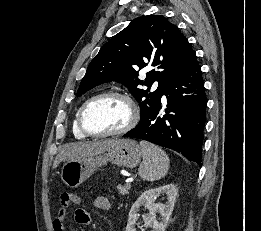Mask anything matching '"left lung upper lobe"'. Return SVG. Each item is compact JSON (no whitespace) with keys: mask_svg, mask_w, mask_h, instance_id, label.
Instances as JSON below:
<instances>
[{"mask_svg":"<svg viewBox=\"0 0 261 231\" xmlns=\"http://www.w3.org/2000/svg\"><path fill=\"white\" fill-rule=\"evenodd\" d=\"M196 58L186 37L177 26L162 15L134 19L112 37L87 68L78 89L80 96L93 87L110 81L125 85L139 103L141 117L161 99L169 80L184 72ZM157 67L147 72L144 80L138 70ZM158 81L154 92L141 89Z\"/></svg>","mask_w":261,"mask_h":231,"instance_id":"left-lung-upper-lobe-1","label":"left lung upper lobe"}]
</instances>
